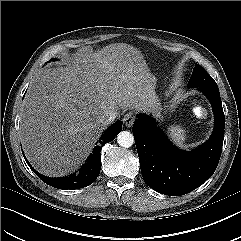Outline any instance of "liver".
I'll use <instances>...</instances> for the list:
<instances>
[{
	"label": "liver",
	"mask_w": 241,
	"mask_h": 241,
	"mask_svg": "<svg viewBox=\"0 0 241 241\" xmlns=\"http://www.w3.org/2000/svg\"><path fill=\"white\" fill-rule=\"evenodd\" d=\"M156 81L141 51L126 43L84 48L66 67L39 71L21 110L27 159L45 176L75 171L105 129L106 112L156 107Z\"/></svg>",
	"instance_id": "1"
}]
</instances>
